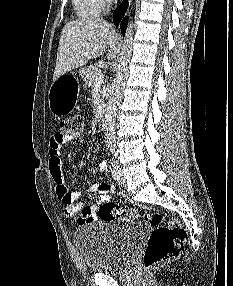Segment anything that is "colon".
<instances>
[{
	"label": "colon",
	"mask_w": 233,
	"mask_h": 286,
	"mask_svg": "<svg viewBox=\"0 0 233 286\" xmlns=\"http://www.w3.org/2000/svg\"><path fill=\"white\" fill-rule=\"evenodd\" d=\"M83 118L75 115L60 122L57 135L63 139L76 140L81 137ZM95 215L104 221H132L137 217L134 210L123 209L111 202H103L95 209ZM146 221L152 232L143 256L146 268H153L179 255L188 246V235L183 227L174 219L165 221L159 213H149Z\"/></svg>",
	"instance_id": "colon-1"
}]
</instances>
